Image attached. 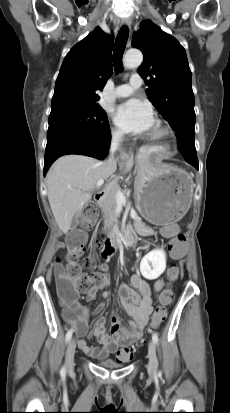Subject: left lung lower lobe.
Returning a JSON list of instances; mask_svg holds the SVG:
<instances>
[{"mask_svg": "<svg viewBox=\"0 0 230 413\" xmlns=\"http://www.w3.org/2000/svg\"><path fill=\"white\" fill-rule=\"evenodd\" d=\"M179 141L182 143V145H186L187 147L188 145H190L189 139L187 137H179ZM191 143H193V141H191ZM181 153L189 164L194 166L197 170L199 169L198 158L196 153H193L192 151H186Z\"/></svg>", "mask_w": 230, "mask_h": 413, "instance_id": "1", "label": "left lung lower lobe"}]
</instances>
